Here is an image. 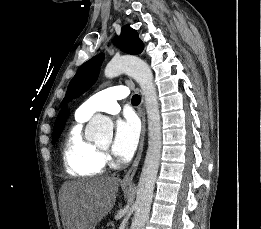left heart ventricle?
Segmentation results:
<instances>
[{"mask_svg":"<svg viewBox=\"0 0 261 229\" xmlns=\"http://www.w3.org/2000/svg\"><path fill=\"white\" fill-rule=\"evenodd\" d=\"M109 142H110V140H107V141H105L104 143H102L101 145H102V146H108V145H109Z\"/></svg>","mask_w":261,"mask_h":229,"instance_id":"b2bd125f","label":"left heart ventricle"}]
</instances>
